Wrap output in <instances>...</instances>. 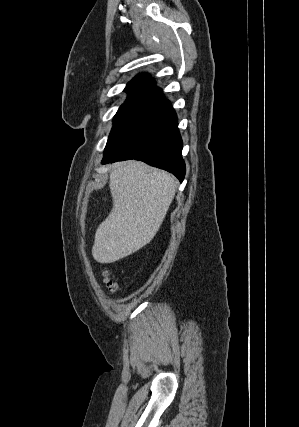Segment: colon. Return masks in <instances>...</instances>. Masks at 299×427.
Returning <instances> with one entry per match:
<instances>
[{"label": "colon", "mask_w": 299, "mask_h": 427, "mask_svg": "<svg viewBox=\"0 0 299 427\" xmlns=\"http://www.w3.org/2000/svg\"><path fill=\"white\" fill-rule=\"evenodd\" d=\"M104 283L110 291L112 292L116 291L117 283L114 281V279L111 277L109 273H105Z\"/></svg>", "instance_id": "obj_1"}]
</instances>
